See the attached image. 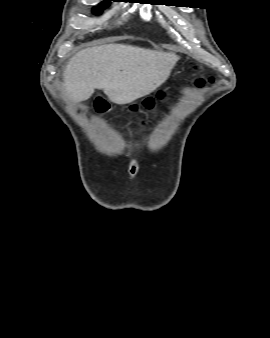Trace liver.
Instances as JSON below:
<instances>
[{
  "label": "liver",
  "mask_w": 270,
  "mask_h": 338,
  "mask_svg": "<svg viewBox=\"0 0 270 338\" xmlns=\"http://www.w3.org/2000/svg\"><path fill=\"white\" fill-rule=\"evenodd\" d=\"M177 60L174 53L131 45L86 48L76 53L64 70V93L80 102L89 99L95 89H102L112 102L129 104L160 87Z\"/></svg>",
  "instance_id": "1"
}]
</instances>
